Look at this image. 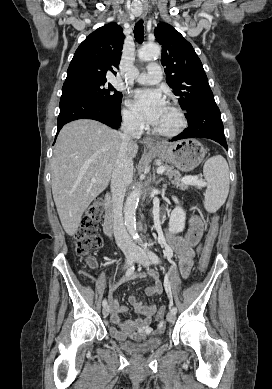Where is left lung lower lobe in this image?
<instances>
[{"label":"left lung lower lobe","mask_w":272,"mask_h":389,"mask_svg":"<svg viewBox=\"0 0 272 389\" xmlns=\"http://www.w3.org/2000/svg\"><path fill=\"white\" fill-rule=\"evenodd\" d=\"M188 128L171 139L177 141L186 138H208L220 143L228 150L220 110L214 99H209L186 115Z\"/></svg>","instance_id":"1"}]
</instances>
